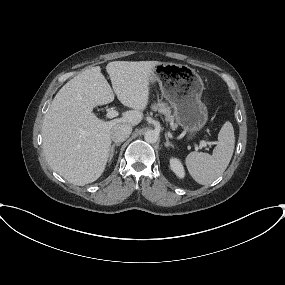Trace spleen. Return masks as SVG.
<instances>
[{
  "mask_svg": "<svg viewBox=\"0 0 285 285\" xmlns=\"http://www.w3.org/2000/svg\"><path fill=\"white\" fill-rule=\"evenodd\" d=\"M235 146L234 129L226 121L218 134V144L213 154L191 152L185 163L192 178L201 185L211 184L226 170L233 155Z\"/></svg>",
  "mask_w": 285,
  "mask_h": 285,
  "instance_id": "obj_1",
  "label": "spleen"
}]
</instances>
